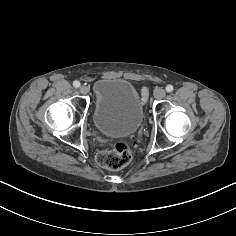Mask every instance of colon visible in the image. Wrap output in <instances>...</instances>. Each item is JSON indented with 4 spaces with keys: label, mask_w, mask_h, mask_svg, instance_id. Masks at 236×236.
<instances>
[{
    "label": "colon",
    "mask_w": 236,
    "mask_h": 236,
    "mask_svg": "<svg viewBox=\"0 0 236 236\" xmlns=\"http://www.w3.org/2000/svg\"><path fill=\"white\" fill-rule=\"evenodd\" d=\"M143 102L147 101L148 90L143 87L141 90ZM132 159L129 146L124 142H117L109 150L97 154L96 162L107 169L119 170L126 167Z\"/></svg>",
    "instance_id": "colon-1"
}]
</instances>
